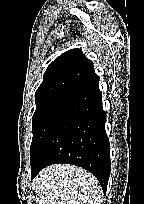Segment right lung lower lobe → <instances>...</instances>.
Masks as SVG:
<instances>
[{"mask_svg":"<svg viewBox=\"0 0 144 204\" xmlns=\"http://www.w3.org/2000/svg\"><path fill=\"white\" fill-rule=\"evenodd\" d=\"M105 122L99 87L75 97L31 164V179L46 166L70 163L95 175L106 192L111 161Z\"/></svg>","mask_w":144,"mask_h":204,"instance_id":"obj_1","label":"right lung lower lobe"}]
</instances>
